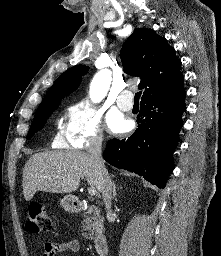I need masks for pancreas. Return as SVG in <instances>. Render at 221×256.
I'll return each instance as SVG.
<instances>
[{"mask_svg": "<svg viewBox=\"0 0 221 256\" xmlns=\"http://www.w3.org/2000/svg\"><path fill=\"white\" fill-rule=\"evenodd\" d=\"M82 227L83 232H85L83 234L85 236L89 235V238L92 239L94 232L101 230L103 227V218L100 215V210L95 206H90L83 219ZM86 231H89L90 234H87Z\"/></svg>", "mask_w": 221, "mask_h": 256, "instance_id": "cf45deb5", "label": "pancreas"}]
</instances>
